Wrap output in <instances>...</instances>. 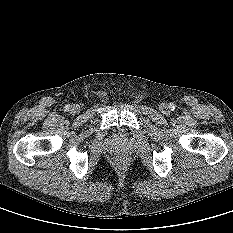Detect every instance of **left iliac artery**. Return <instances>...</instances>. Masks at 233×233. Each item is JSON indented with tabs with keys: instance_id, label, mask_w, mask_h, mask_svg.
I'll list each match as a JSON object with an SVG mask.
<instances>
[{
	"instance_id": "44dca946",
	"label": "left iliac artery",
	"mask_w": 233,
	"mask_h": 233,
	"mask_svg": "<svg viewBox=\"0 0 233 233\" xmlns=\"http://www.w3.org/2000/svg\"><path fill=\"white\" fill-rule=\"evenodd\" d=\"M175 107H176V106H175L173 103H170V104H169V108H170L171 110H174Z\"/></svg>"
}]
</instances>
